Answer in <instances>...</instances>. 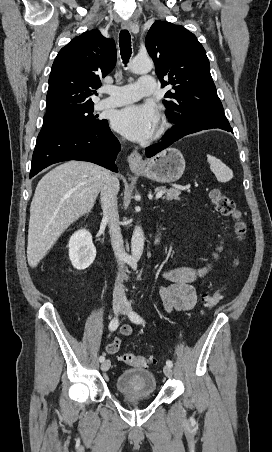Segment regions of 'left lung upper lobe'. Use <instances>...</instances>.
Instances as JSON below:
<instances>
[{
	"mask_svg": "<svg viewBox=\"0 0 272 452\" xmlns=\"http://www.w3.org/2000/svg\"><path fill=\"white\" fill-rule=\"evenodd\" d=\"M145 44L161 87L170 85L173 89L163 101L169 121L178 126L229 125L206 52L193 33L181 25L157 20Z\"/></svg>",
	"mask_w": 272,
	"mask_h": 452,
	"instance_id": "5c2ea615",
	"label": "left lung upper lobe"
}]
</instances>
